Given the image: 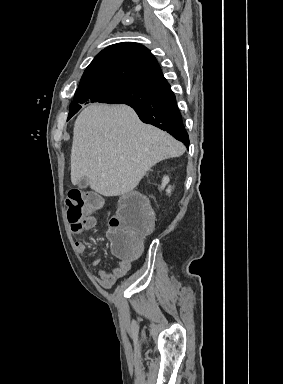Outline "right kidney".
Listing matches in <instances>:
<instances>
[{
    "mask_svg": "<svg viewBox=\"0 0 283 384\" xmlns=\"http://www.w3.org/2000/svg\"><path fill=\"white\" fill-rule=\"evenodd\" d=\"M170 180L168 178V176H164L163 180H162V184H161V190H164L165 186H167V184H169ZM167 194H171V186H169V188H167L166 190Z\"/></svg>",
    "mask_w": 283,
    "mask_h": 384,
    "instance_id": "right-kidney-1",
    "label": "right kidney"
}]
</instances>
